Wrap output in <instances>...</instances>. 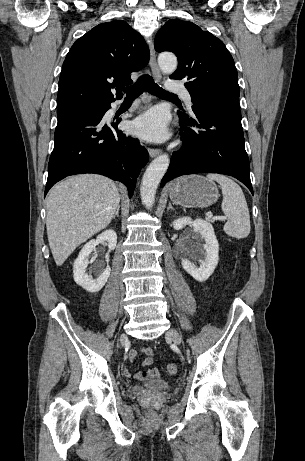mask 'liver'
I'll return each instance as SVG.
<instances>
[{"label": "liver", "mask_w": 305, "mask_h": 461, "mask_svg": "<svg viewBox=\"0 0 305 461\" xmlns=\"http://www.w3.org/2000/svg\"><path fill=\"white\" fill-rule=\"evenodd\" d=\"M119 202L114 182L96 174L72 176L51 189L47 197L46 227L57 266L111 222Z\"/></svg>", "instance_id": "1"}]
</instances>
